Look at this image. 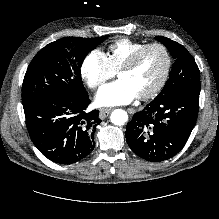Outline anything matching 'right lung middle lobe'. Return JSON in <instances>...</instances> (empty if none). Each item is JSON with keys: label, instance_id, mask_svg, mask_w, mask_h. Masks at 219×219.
Returning <instances> with one entry per match:
<instances>
[{"label": "right lung middle lobe", "instance_id": "dd1d6c3e", "mask_svg": "<svg viewBox=\"0 0 219 219\" xmlns=\"http://www.w3.org/2000/svg\"><path fill=\"white\" fill-rule=\"evenodd\" d=\"M109 36L64 37L41 49L30 63L22 86V103L55 94L87 96L80 68L86 55Z\"/></svg>", "mask_w": 219, "mask_h": 219}]
</instances>
